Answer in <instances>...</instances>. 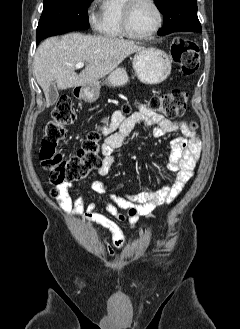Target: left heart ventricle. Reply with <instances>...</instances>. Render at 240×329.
<instances>
[{
  "mask_svg": "<svg viewBox=\"0 0 240 329\" xmlns=\"http://www.w3.org/2000/svg\"><path fill=\"white\" fill-rule=\"evenodd\" d=\"M157 21V13L153 6L146 0H140L132 10L130 28L134 33L147 34L153 30Z\"/></svg>",
  "mask_w": 240,
  "mask_h": 329,
  "instance_id": "b2bd125f",
  "label": "left heart ventricle"
}]
</instances>
